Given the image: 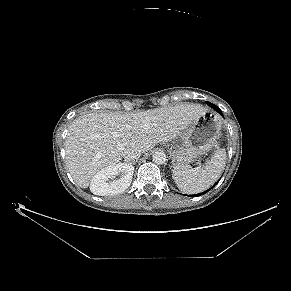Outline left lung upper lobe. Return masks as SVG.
<instances>
[{
    "label": "left lung upper lobe",
    "instance_id": "obj_1",
    "mask_svg": "<svg viewBox=\"0 0 291 291\" xmlns=\"http://www.w3.org/2000/svg\"><path fill=\"white\" fill-rule=\"evenodd\" d=\"M207 104H208L209 106H211V107L214 105V104H212V103H210V102H207Z\"/></svg>",
    "mask_w": 291,
    "mask_h": 291
}]
</instances>
